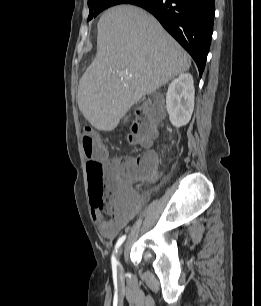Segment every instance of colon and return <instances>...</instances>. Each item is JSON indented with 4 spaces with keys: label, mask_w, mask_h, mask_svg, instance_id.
Listing matches in <instances>:
<instances>
[{
    "label": "colon",
    "mask_w": 261,
    "mask_h": 306,
    "mask_svg": "<svg viewBox=\"0 0 261 306\" xmlns=\"http://www.w3.org/2000/svg\"><path fill=\"white\" fill-rule=\"evenodd\" d=\"M160 113V97L157 95L139 104L130 125L128 140L143 146L149 145L156 136ZM82 150L87 159L86 168L92 198L99 200L100 208L107 211L113 210L116 202H121L131 195L127 182L135 178H150L154 174L151 160L146 156L135 159L134 164L127 167L120 163H103L105 148L97 143L89 127L82 131ZM125 178H128V181L121 182Z\"/></svg>",
    "instance_id": "5ec220e1"
}]
</instances>
